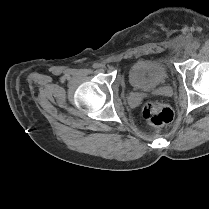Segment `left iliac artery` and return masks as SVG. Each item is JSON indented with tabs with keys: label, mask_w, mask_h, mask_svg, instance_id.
<instances>
[{
	"label": "left iliac artery",
	"mask_w": 209,
	"mask_h": 209,
	"mask_svg": "<svg viewBox=\"0 0 209 209\" xmlns=\"http://www.w3.org/2000/svg\"><path fill=\"white\" fill-rule=\"evenodd\" d=\"M199 46H200V44H199L198 42H194V43L192 44V47H193L195 50L198 49Z\"/></svg>",
	"instance_id": "left-iliac-artery-1"
}]
</instances>
